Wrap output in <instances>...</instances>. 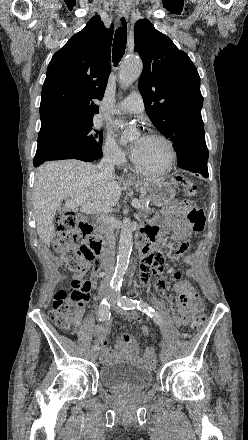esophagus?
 Here are the masks:
<instances>
[{
    "label": "esophagus",
    "instance_id": "obj_1",
    "mask_svg": "<svg viewBox=\"0 0 248 440\" xmlns=\"http://www.w3.org/2000/svg\"><path fill=\"white\" fill-rule=\"evenodd\" d=\"M119 15L122 16V17H128L129 13L127 11H125V10H120L119 11Z\"/></svg>",
    "mask_w": 248,
    "mask_h": 440
}]
</instances>
